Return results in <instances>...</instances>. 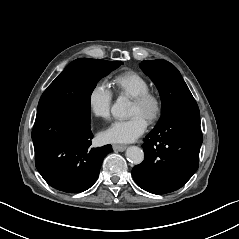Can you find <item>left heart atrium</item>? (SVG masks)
Returning a JSON list of instances; mask_svg holds the SVG:
<instances>
[{
  "mask_svg": "<svg viewBox=\"0 0 239 239\" xmlns=\"http://www.w3.org/2000/svg\"><path fill=\"white\" fill-rule=\"evenodd\" d=\"M148 121L140 114L128 119L117 120L101 133L105 142H132L147 129Z\"/></svg>",
  "mask_w": 239,
  "mask_h": 239,
  "instance_id": "39dd6f15",
  "label": "left heart atrium"
}]
</instances>
